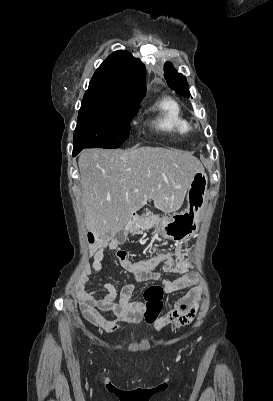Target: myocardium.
<instances>
[{
    "mask_svg": "<svg viewBox=\"0 0 273 401\" xmlns=\"http://www.w3.org/2000/svg\"><path fill=\"white\" fill-rule=\"evenodd\" d=\"M200 126L197 123H192L189 125L188 134L190 137H197L200 133Z\"/></svg>",
    "mask_w": 273,
    "mask_h": 401,
    "instance_id": "1",
    "label": "myocardium"
}]
</instances>
